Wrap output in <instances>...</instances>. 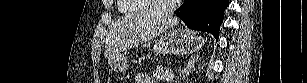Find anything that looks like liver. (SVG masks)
Segmentation results:
<instances>
[{"label": "liver", "mask_w": 307, "mask_h": 83, "mask_svg": "<svg viewBox=\"0 0 307 83\" xmlns=\"http://www.w3.org/2000/svg\"><path fill=\"white\" fill-rule=\"evenodd\" d=\"M177 24V18L158 16L150 12L125 16L111 27L104 56L110 59L119 55L124 48L147 42Z\"/></svg>", "instance_id": "liver-1"}]
</instances>
